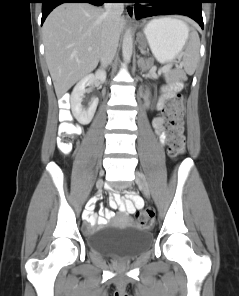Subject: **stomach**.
<instances>
[{
	"instance_id": "stomach-1",
	"label": "stomach",
	"mask_w": 239,
	"mask_h": 296,
	"mask_svg": "<svg viewBox=\"0 0 239 296\" xmlns=\"http://www.w3.org/2000/svg\"><path fill=\"white\" fill-rule=\"evenodd\" d=\"M140 37L147 42L159 62L173 61L181 52L187 40V29L178 20L162 17L148 22Z\"/></svg>"
}]
</instances>
